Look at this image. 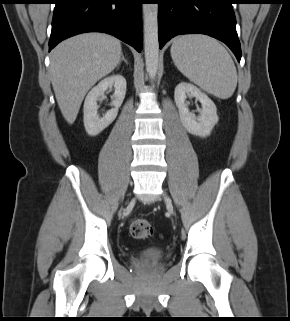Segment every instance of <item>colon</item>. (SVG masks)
<instances>
[{"instance_id": "colon-1", "label": "colon", "mask_w": 290, "mask_h": 321, "mask_svg": "<svg viewBox=\"0 0 290 321\" xmlns=\"http://www.w3.org/2000/svg\"><path fill=\"white\" fill-rule=\"evenodd\" d=\"M130 233L136 239H147L152 236L151 224L144 218H135L130 223Z\"/></svg>"}]
</instances>
